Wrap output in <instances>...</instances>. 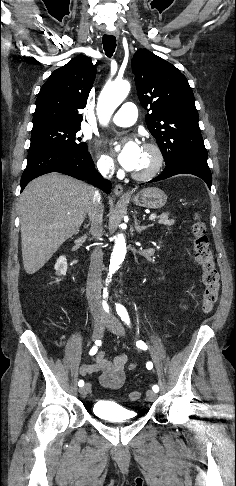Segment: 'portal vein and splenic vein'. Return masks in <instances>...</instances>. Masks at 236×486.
<instances>
[{
	"instance_id": "portal-vein-and-splenic-vein-1",
	"label": "portal vein and splenic vein",
	"mask_w": 236,
	"mask_h": 486,
	"mask_svg": "<svg viewBox=\"0 0 236 486\" xmlns=\"http://www.w3.org/2000/svg\"><path fill=\"white\" fill-rule=\"evenodd\" d=\"M155 219H156V214H152V215H150V217H149V220H150V221H153V220H155Z\"/></svg>"
}]
</instances>
